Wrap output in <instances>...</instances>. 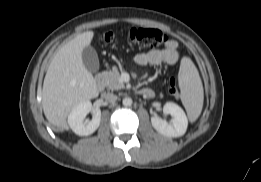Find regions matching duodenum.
<instances>
[{"instance_id": "obj_1", "label": "duodenum", "mask_w": 261, "mask_h": 182, "mask_svg": "<svg viewBox=\"0 0 261 182\" xmlns=\"http://www.w3.org/2000/svg\"><path fill=\"white\" fill-rule=\"evenodd\" d=\"M96 86L98 89L102 90L104 88V81L102 79V77L100 75H98L96 77L95 80ZM141 95L147 96V97H151L153 95V92L151 89L148 88H142L138 91Z\"/></svg>"}]
</instances>
